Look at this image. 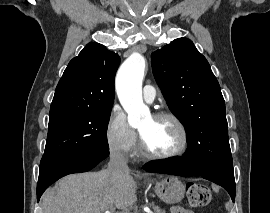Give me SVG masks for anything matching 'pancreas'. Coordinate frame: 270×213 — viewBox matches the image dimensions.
Listing matches in <instances>:
<instances>
[{"label":"pancreas","mask_w":270,"mask_h":213,"mask_svg":"<svg viewBox=\"0 0 270 213\" xmlns=\"http://www.w3.org/2000/svg\"><path fill=\"white\" fill-rule=\"evenodd\" d=\"M153 209H154L155 213H166L165 210L159 208L158 206L153 205Z\"/></svg>","instance_id":"obj_1"}]
</instances>
